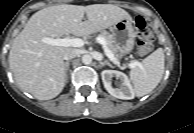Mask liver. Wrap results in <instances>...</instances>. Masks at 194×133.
I'll return each mask as SVG.
<instances>
[{
  "label": "liver",
  "mask_w": 194,
  "mask_h": 133,
  "mask_svg": "<svg viewBox=\"0 0 194 133\" xmlns=\"http://www.w3.org/2000/svg\"><path fill=\"white\" fill-rule=\"evenodd\" d=\"M84 14L86 21H82ZM122 19H131V16L112 4H62L36 12L13 40L9 52V67L17 84L36 99L56 97L66 83L63 55L69 47L43 43L42 38L55 39L68 34L87 36Z\"/></svg>",
  "instance_id": "obj_1"
}]
</instances>
